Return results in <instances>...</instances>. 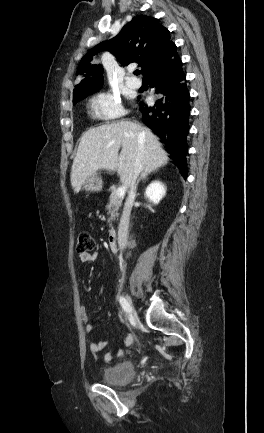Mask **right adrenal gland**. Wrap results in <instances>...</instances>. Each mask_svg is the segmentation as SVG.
Returning <instances> with one entry per match:
<instances>
[{
    "mask_svg": "<svg viewBox=\"0 0 264 433\" xmlns=\"http://www.w3.org/2000/svg\"><path fill=\"white\" fill-rule=\"evenodd\" d=\"M148 175H149V173H147V172H142V173H141L140 177L138 178V180H137V182H136V190H137V187H138L139 182H140L141 180L146 181V180L148 179Z\"/></svg>",
    "mask_w": 264,
    "mask_h": 433,
    "instance_id": "1",
    "label": "right adrenal gland"
}]
</instances>
